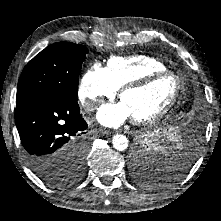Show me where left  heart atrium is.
<instances>
[{"label": "left heart atrium", "instance_id": "obj_1", "mask_svg": "<svg viewBox=\"0 0 221 221\" xmlns=\"http://www.w3.org/2000/svg\"><path fill=\"white\" fill-rule=\"evenodd\" d=\"M98 120L105 126L118 127L131 118L129 111L120 101L116 104L103 105L98 114Z\"/></svg>", "mask_w": 221, "mask_h": 221}]
</instances>
